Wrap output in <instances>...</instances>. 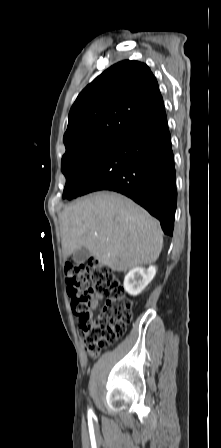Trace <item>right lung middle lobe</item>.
<instances>
[{"instance_id": "1", "label": "right lung middle lobe", "mask_w": 221, "mask_h": 448, "mask_svg": "<svg viewBox=\"0 0 221 448\" xmlns=\"http://www.w3.org/2000/svg\"><path fill=\"white\" fill-rule=\"evenodd\" d=\"M118 138L88 142L67 151L61 161L66 177L63 198L80 196L82 190L108 156Z\"/></svg>"}]
</instances>
